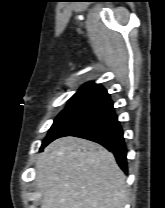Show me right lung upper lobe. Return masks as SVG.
<instances>
[{"mask_svg":"<svg viewBox=\"0 0 165 208\" xmlns=\"http://www.w3.org/2000/svg\"><path fill=\"white\" fill-rule=\"evenodd\" d=\"M110 99L107 90L92 82L83 85L68 101L67 107L83 106L94 108L105 100Z\"/></svg>","mask_w":165,"mask_h":208,"instance_id":"obj_1","label":"right lung upper lobe"}]
</instances>
